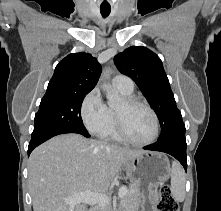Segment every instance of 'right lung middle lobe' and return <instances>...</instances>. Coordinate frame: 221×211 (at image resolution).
Returning a JSON list of instances; mask_svg holds the SVG:
<instances>
[{
    "instance_id": "1",
    "label": "right lung middle lobe",
    "mask_w": 221,
    "mask_h": 211,
    "mask_svg": "<svg viewBox=\"0 0 221 211\" xmlns=\"http://www.w3.org/2000/svg\"><path fill=\"white\" fill-rule=\"evenodd\" d=\"M87 94H45L35 114L32 135L57 128L86 131L80 113Z\"/></svg>"
}]
</instances>
